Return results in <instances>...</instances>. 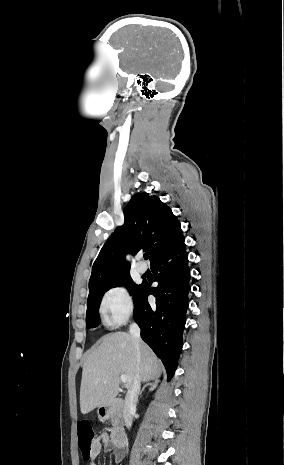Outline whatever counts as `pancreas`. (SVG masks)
<instances>
[{
    "mask_svg": "<svg viewBox=\"0 0 284 465\" xmlns=\"http://www.w3.org/2000/svg\"><path fill=\"white\" fill-rule=\"evenodd\" d=\"M117 421H118V417H117L116 413H112V415H111L112 431H114V427H117Z\"/></svg>",
    "mask_w": 284,
    "mask_h": 465,
    "instance_id": "cf45deb5",
    "label": "pancreas"
}]
</instances>
